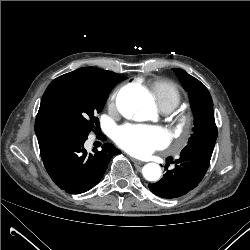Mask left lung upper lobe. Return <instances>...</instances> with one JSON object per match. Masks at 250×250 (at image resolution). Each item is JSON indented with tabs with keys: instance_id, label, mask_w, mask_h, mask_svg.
Instances as JSON below:
<instances>
[{
	"instance_id": "1",
	"label": "left lung upper lobe",
	"mask_w": 250,
	"mask_h": 250,
	"mask_svg": "<svg viewBox=\"0 0 250 250\" xmlns=\"http://www.w3.org/2000/svg\"><path fill=\"white\" fill-rule=\"evenodd\" d=\"M184 89L188 92L194 116V133L189 143L217 138V127L213 114V102L207 88L182 69H173Z\"/></svg>"
}]
</instances>
